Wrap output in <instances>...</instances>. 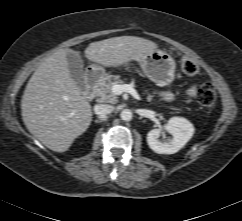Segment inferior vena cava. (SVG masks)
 Segmentation results:
<instances>
[{"label":"inferior vena cava","instance_id":"1","mask_svg":"<svg viewBox=\"0 0 242 221\" xmlns=\"http://www.w3.org/2000/svg\"><path fill=\"white\" fill-rule=\"evenodd\" d=\"M114 106L108 104H96L94 106V112L97 115H107L114 111Z\"/></svg>","mask_w":242,"mask_h":221}]
</instances>
